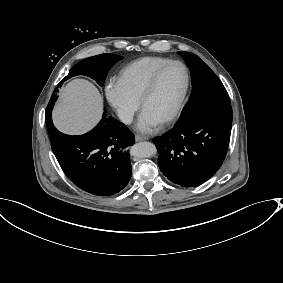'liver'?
<instances>
[{
	"instance_id": "liver-1",
	"label": "liver",
	"mask_w": 283,
	"mask_h": 283,
	"mask_svg": "<svg viewBox=\"0 0 283 283\" xmlns=\"http://www.w3.org/2000/svg\"><path fill=\"white\" fill-rule=\"evenodd\" d=\"M102 97L86 80H73L61 90L54 110V122L63 132L80 134L100 118Z\"/></svg>"
}]
</instances>
